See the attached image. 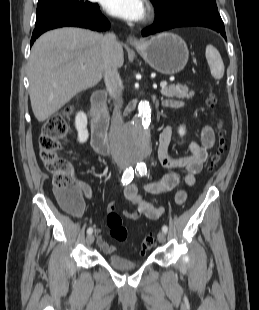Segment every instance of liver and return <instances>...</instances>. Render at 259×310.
Listing matches in <instances>:
<instances>
[{"mask_svg":"<svg viewBox=\"0 0 259 310\" xmlns=\"http://www.w3.org/2000/svg\"><path fill=\"white\" fill-rule=\"evenodd\" d=\"M103 35L66 27L43 34L34 43L28 64L29 95L39 122L47 120L81 91L94 87L104 75ZM114 63L123 66L121 44Z\"/></svg>","mask_w":259,"mask_h":310,"instance_id":"6515ba94","label":"liver"}]
</instances>
